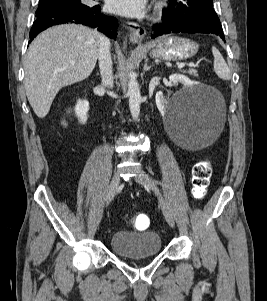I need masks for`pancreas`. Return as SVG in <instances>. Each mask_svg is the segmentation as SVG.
Returning a JSON list of instances; mask_svg holds the SVG:
<instances>
[{"label":"pancreas","instance_id":"cf45deb5","mask_svg":"<svg viewBox=\"0 0 267 301\" xmlns=\"http://www.w3.org/2000/svg\"><path fill=\"white\" fill-rule=\"evenodd\" d=\"M187 74L195 76V77L198 76L197 71L195 69H190L189 71H187Z\"/></svg>","mask_w":267,"mask_h":301}]
</instances>
